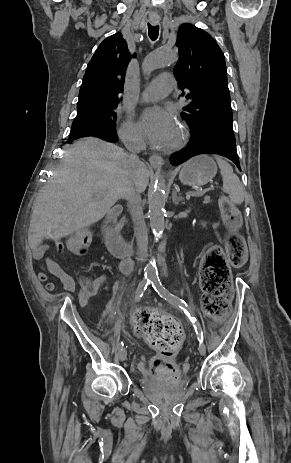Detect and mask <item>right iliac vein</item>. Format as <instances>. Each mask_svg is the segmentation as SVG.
<instances>
[{
	"mask_svg": "<svg viewBox=\"0 0 291 463\" xmlns=\"http://www.w3.org/2000/svg\"><path fill=\"white\" fill-rule=\"evenodd\" d=\"M118 357L120 361H125L127 358V351L125 348H120L118 352Z\"/></svg>",
	"mask_w": 291,
	"mask_h": 463,
	"instance_id": "1",
	"label": "right iliac vein"
}]
</instances>
